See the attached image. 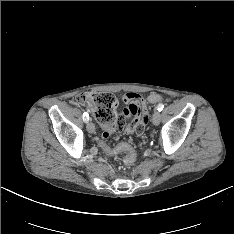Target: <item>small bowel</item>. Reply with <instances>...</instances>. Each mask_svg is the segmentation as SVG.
<instances>
[{"label":"small bowel","instance_id":"obj_1","mask_svg":"<svg viewBox=\"0 0 234 234\" xmlns=\"http://www.w3.org/2000/svg\"><path fill=\"white\" fill-rule=\"evenodd\" d=\"M156 95H158V94H156ZM124 102L127 104V106L123 109L121 116L124 119L132 118V121L129 124H127L124 128L125 133L126 134H133L134 132H136V134L138 136H144L145 133L147 132L146 124L149 120V116L146 113L147 107H146L145 100L143 99V97L141 95H139L137 93L128 92L124 95ZM106 125L107 124L102 123V128H103L102 134L106 131V129H105ZM116 130H119V129H117V127H116L114 132ZM110 136L106 139V141L110 138ZM124 143H126V142H124Z\"/></svg>","mask_w":234,"mask_h":234}]
</instances>
